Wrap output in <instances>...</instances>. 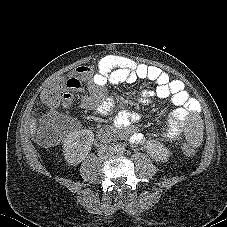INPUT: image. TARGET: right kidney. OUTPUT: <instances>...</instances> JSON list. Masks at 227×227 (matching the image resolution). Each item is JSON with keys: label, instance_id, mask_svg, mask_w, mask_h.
Returning a JSON list of instances; mask_svg holds the SVG:
<instances>
[{"label": "right kidney", "instance_id": "obj_1", "mask_svg": "<svg viewBox=\"0 0 227 227\" xmlns=\"http://www.w3.org/2000/svg\"><path fill=\"white\" fill-rule=\"evenodd\" d=\"M94 134L91 130L81 129L70 133L63 144V153L69 165L82 162L91 149Z\"/></svg>", "mask_w": 227, "mask_h": 227}]
</instances>
